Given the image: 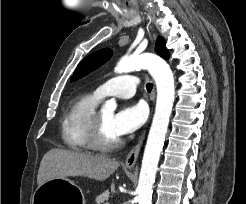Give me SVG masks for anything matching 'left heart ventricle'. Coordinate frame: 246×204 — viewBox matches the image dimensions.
Masks as SVG:
<instances>
[{"mask_svg": "<svg viewBox=\"0 0 246 204\" xmlns=\"http://www.w3.org/2000/svg\"><path fill=\"white\" fill-rule=\"evenodd\" d=\"M103 127V137L106 141L111 142L119 138L112 128L113 113L109 111L100 112Z\"/></svg>", "mask_w": 246, "mask_h": 204, "instance_id": "b2bd125f", "label": "left heart ventricle"}]
</instances>
